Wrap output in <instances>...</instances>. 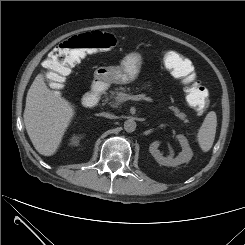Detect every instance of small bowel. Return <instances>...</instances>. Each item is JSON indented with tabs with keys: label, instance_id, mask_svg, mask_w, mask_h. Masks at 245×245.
Returning a JSON list of instances; mask_svg holds the SVG:
<instances>
[{
	"label": "small bowel",
	"instance_id": "small-bowel-1",
	"mask_svg": "<svg viewBox=\"0 0 245 245\" xmlns=\"http://www.w3.org/2000/svg\"><path fill=\"white\" fill-rule=\"evenodd\" d=\"M169 53H171V52L166 53L165 57H166ZM184 63H185V65H186V67H187V72H188V74L191 75L192 78L194 79V77H195V72H194V67H193L192 63H191L188 59H186V58L184 59Z\"/></svg>",
	"mask_w": 245,
	"mask_h": 245
}]
</instances>
